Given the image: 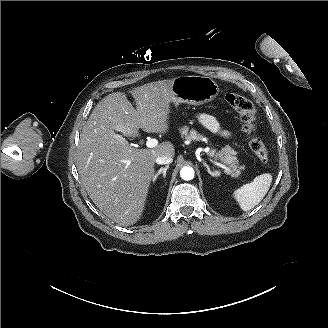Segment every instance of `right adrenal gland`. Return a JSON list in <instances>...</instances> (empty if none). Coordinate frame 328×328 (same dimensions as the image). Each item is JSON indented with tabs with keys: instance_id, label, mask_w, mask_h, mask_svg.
<instances>
[{
	"instance_id": "1",
	"label": "right adrenal gland",
	"mask_w": 328,
	"mask_h": 328,
	"mask_svg": "<svg viewBox=\"0 0 328 328\" xmlns=\"http://www.w3.org/2000/svg\"><path fill=\"white\" fill-rule=\"evenodd\" d=\"M169 168V165H167L165 168H160V170L158 171V174L155 176L154 178V183L156 182V180L158 179V177L162 174L163 175V179L165 181L166 179V170Z\"/></svg>"
}]
</instances>
